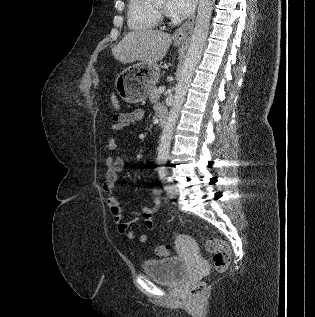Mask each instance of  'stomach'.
Returning a JSON list of instances; mask_svg holds the SVG:
<instances>
[{
  "label": "stomach",
  "mask_w": 315,
  "mask_h": 317,
  "mask_svg": "<svg viewBox=\"0 0 315 317\" xmlns=\"http://www.w3.org/2000/svg\"><path fill=\"white\" fill-rule=\"evenodd\" d=\"M177 45L180 42H176ZM160 77L158 65L137 63L124 69L116 78L118 95L127 103H139L149 95Z\"/></svg>",
  "instance_id": "0dacf381"
}]
</instances>
